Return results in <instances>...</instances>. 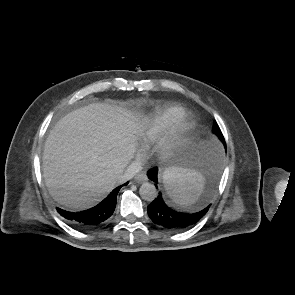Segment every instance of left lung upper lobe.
<instances>
[{
	"instance_id": "left-lung-upper-lobe-1",
	"label": "left lung upper lobe",
	"mask_w": 295,
	"mask_h": 295,
	"mask_svg": "<svg viewBox=\"0 0 295 295\" xmlns=\"http://www.w3.org/2000/svg\"><path fill=\"white\" fill-rule=\"evenodd\" d=\"M213 131L225 145V140H224L223 134L216 122L214 123Z\"/></svg>"
}]
</instances>
